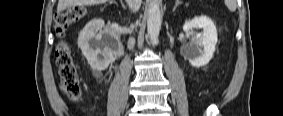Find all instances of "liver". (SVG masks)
Here are the masks:
<instances>
[{"label":"liver","instance_id":"obj_1","mask_svg":"<svg viewBox=\"0 0 283 116\" xmlns=\"http://www.w3.org/2000/svg\"><path fill=\"white\" fill-rule=\"evenodd\" d=\"M107 0H59L57 11L62 12L69 7L106 2Z\"/></svg>","mask_w":283,"mask_h":116}]
</instances>
